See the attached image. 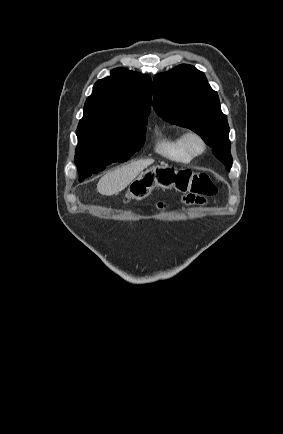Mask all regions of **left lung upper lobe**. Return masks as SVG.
<instances>
[{
    "mask_svg": "<svg viewBox=\"0 0 283 434\" xmlns=\"http://www.w3.org/2000/svg\"><path fill=\"white\" fill-rule=\"evenodd\" d=\"M153 90L155 112L165 121L199 134L229 171L232 156L227 117L204 73L191 65H178L156 75Z\"/></svg>",
    "mask_w": 283,
    "mask_h": 434,
    "instance_id": "5c2ea615",
    "label": "left lung upper lobe"
}]
</instances>
